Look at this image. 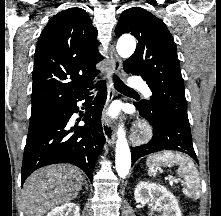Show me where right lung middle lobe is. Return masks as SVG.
Segmentation results:
<instances>
[{"mask_svg": "<svg viewBox=\"0 0 221 216\" xmlns=\"http://www.w3.org/2000/svg\"><path fill=\"white\" fill-rule=\"evenodd\" d=\"M51 110L31 115L28 136L34 134L49 119Z\"/></svg>", "mask_w": 221, "mask_h": 216, "instance_id": "dd1d6c3e", "label": "right lung middle lobe"}]
</instances>
